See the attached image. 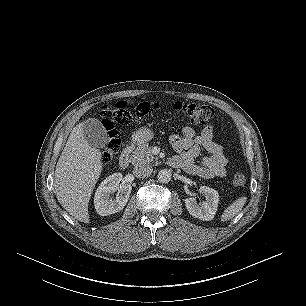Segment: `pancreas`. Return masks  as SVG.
<instances>
[{
	"label": "pancreas",
	"mask_w": 306,
	"mask_h": 306,
	"mask_svg": "<svg viewBox=\"0 0 306 306\" xmlns=\"http://www.w3.org/2000/svg\"><path fill=\"white\" fill-rule=\"evenodd\" d=\"M133 165L153 164L156 160L147 143L140 144L130 158Z\"/></svg>",
	"instance_id": "1"
}]
</instances>
